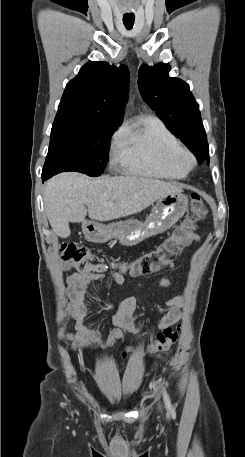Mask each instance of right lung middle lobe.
Returning <instances> with one entry per match:
<instances>
[{
	"label": "right lung middle lobe",
	"mask_w": 245,
	"mask_h": 457,
	"mask_svg": "<svg viewBox=\"0 0 245 457\" xmlns=\"http://www.w3.org/2000/svg\"><path fill=\"white\" fill-rule=\"evenodd\" d=\"M121 121L56 115L42 178L62 171L99 176L108 160L109 139Z\"/></svg>",
	"instance_id": "obj_1"
}]
</instances>
